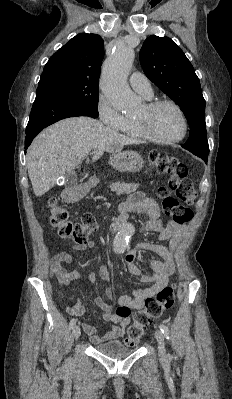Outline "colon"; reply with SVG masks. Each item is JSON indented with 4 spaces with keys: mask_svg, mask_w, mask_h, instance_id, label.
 Segmentation results:
<instances>
[{
    "mask_svg": "<svg viewBox=\"0 0 232 399\" xmlns=\"http://www.w3.org/2000/svg\"><path fill=\"white\" fill-rule=\"evenodd\" d=\"M149 160L155 164L157 172L167 174L166 186L159 185L155 189L159 203H164L162 212L167 218H176V222H190L193 213L188 206L193 196H198L197 186H193L189 181L190 166L159 151H153L149 155ZM165 196H178V198H164ZM45 207L48 209L45 218L58 231L60 239H75V244H87L89 235L98 231L94 215H81V222H73L68 216V211L55 210L58 202L54 198H49L45 202ZM159 294L161 296H146V301L152 302L145 303L146 309L143 311H135L134 318L137 325H131V331L123 337L127 347H136V342L143 338L152 320H156V316H161V312L171 310L175 306L176 293L169 286L168 289H159Z\"/></svg>",
    "mask_w": 232,
    "mask_h": 399,
    "instance_id": "5ec220e1",
    "label": "colon"
}]
</instances>
